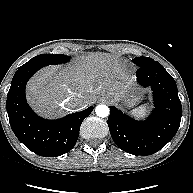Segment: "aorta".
Returning a JSON list of instances; mask_svg holds the SVG:
<instances>
[{
	"instance_id": "1",
	"label": "aorta",
	"mask_w": 193,
	"mask_h": 193,
	"mask_svg": "<svg viewBox=\"0 0 193 193\" xmlns=\"http://www.w3.org/2000/svg\"><path fill=\"white\" fill-rule=\"evenodd\" d=\"M95 112L97 116L104 118L109 115V108L108 106L101 104L96 107Z\"/></svg>"
}]
</instances>
